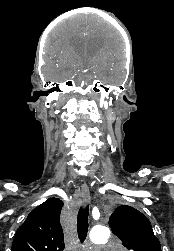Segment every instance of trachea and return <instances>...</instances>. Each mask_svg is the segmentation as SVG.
<instances>
[{"label":"trachea","mask_w":174,"mask_h":251,"mask_svg":"<svg viewBox=\"0 0 174 251\" xmlns=\"http://www.w3.org/2000/svg\"><path fill=\"white\" fill-rule=\"evenodd\" d=\"M89 206L80 208L77 218V232L81 242H84L88 232Z\"/></svg>","instance_id":"1"}]
</instances>
